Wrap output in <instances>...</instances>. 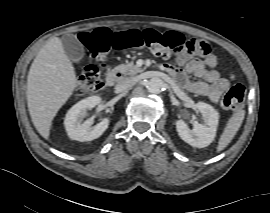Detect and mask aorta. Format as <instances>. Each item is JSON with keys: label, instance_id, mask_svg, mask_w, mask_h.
Returning <instances> with one entry per match:
<instances>
[{"label": "aorta", "instance_id": "aorta-1", "mask_svg": "<svg viewBox=\"0 0 270 213\" xmlns=\"http://www.w3.org/2000/svg\"><path fill=\"white\" fill-rule=\"evenodd\" d=\"M147 90L151 93L158 94L164 89V82L162 79L154 77L147 82Z\"/></svg>", "mask_w": 270, "mask_h": 213}]
</instances>
